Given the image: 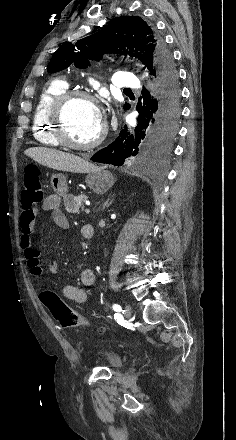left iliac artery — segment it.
Listing matches in <instances>:
<instances>
[{
  "instance_id": "44dca946",
  "label": "left iliac artery",
  "mask_w": 236,
  "mask_h": 440,
  "mask_svg": "<svg viewBox=\"0 0 236 440\" xmlns=\"http://www.w3.org/2000/svg\"><path fill=\"white\" fill-rule=\"evenodd\" d=\"M113 310H114V311H117V312H120V311H123V312H124V310H122L121 306L118 305V304H114V305H113ZM115 317H116V315H115Z\"/></svg>"
}]
</instances>
